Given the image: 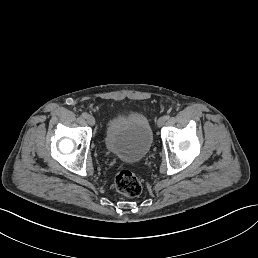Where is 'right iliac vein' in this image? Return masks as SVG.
I'll list each match as a JSON object with an SVG mask.
<instances>
[{"label":"right iliac vein","mask_w":258,"mask_h":258,"mask_svg":"<svg viewBox=\"0 0 258 258\" xmlns=\"http://www.w3.org/2000/svg\"><path fill=\"white\" fill-rule=\"evenodd\" d=\"M86 121L89 125H94L96 123V120L93 115H88Z\"/></svg>","instance_id":"1"}]
</instances>
